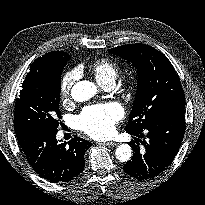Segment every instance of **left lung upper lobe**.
Listing matches in <instances>:
<instances>
[{
	"label": "left lung upper lobe",
	"instance_id": "5c2ea615",
	"mask_svg": "<svg viewBox=\"0 0 205 205\" xmlns=\"http://www.w3.org/2000/svg\"><path fill=\"white\" fill-rule=\"evenodd\" d=\"M108 51L132 62L138 72L137 92L126 132L140 131L159 117L185 108L181 82L164 54L141 43Z\"/></svg>",
	"mask_w": 205,
	"mask_h": 205
}]
</instances>
